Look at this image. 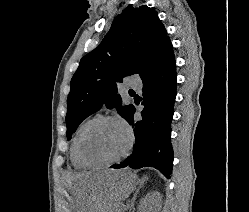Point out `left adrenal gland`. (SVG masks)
Wrapping results in <instances>:
<instances>
[{
	"instance_id": "left-adrenal-gland-1",
	"label": "left adrenal gland",
	"mask_w": 249,
	"mask_h": 212,
	"mask_svg": "<svg viewBox=\"0 0 249 212\" xmlns=\"http://www.w3.org/2000/svg\"><path fill=\"white\" fill-rule=\"evenodd\" d=\"M143 184H144V182H139L138 194H139ZM130 208H133V206H130ZM127 210H129V208H127Z\"/></svg>"
}]
</instances>
